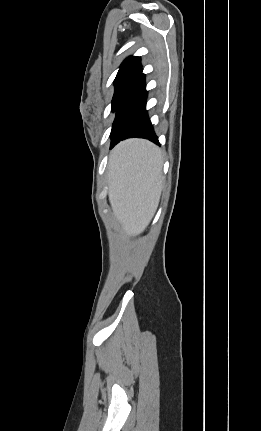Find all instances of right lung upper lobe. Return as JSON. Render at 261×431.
Here are the masks:
<instances>
[{
	"instance_id": "obj_1",
	"label": "right lung upper lobe",
	"mask_w": 261,
	"mask_h": 431,
	"mask_svg": "<svg viewBox=\"0 0 261 431\" xmlns=\"http://www.w3.org/2000/svg\"><path fill=\"white\" fill-rule=\"evenodd\" d=\"M131 73H142L140 57H129L121 65L115 79Z\"/></svg>"
}]
</instances>
